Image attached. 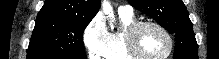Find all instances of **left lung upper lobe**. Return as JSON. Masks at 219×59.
Wrapping results in <instances>:
<instances>
[{
	"label": "left lung upper lobe",
	"instance_id": "left-lung-upper-lobe-1",
	"mask_svg": "<svg viewBox=\"0 0 219 59\" xmlns=\"http://www.w3.org/2000/svg\"><path fill=\"white\" fill-rule=\"evenodd\" d=\"M128 2L175 35L174 59H198V45L182 0H128Z\"/></svg>",
	"mask_w": 219,
	"mask_h": 59
}]
</instances>
